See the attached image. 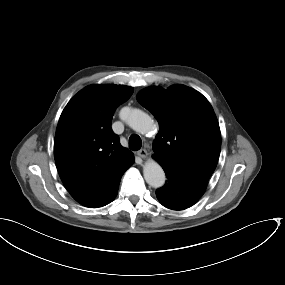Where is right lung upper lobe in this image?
Segmentation results:
<instances>
[{
  "mask_svg": "<svg viewBox=\"0 0 285 285\" xmlns=\"http://www.w3.org/2000/svg\"><path fill=\"white\" fill-rule=\"evenodd\" d=\"M132 93L129 86L91 85L60 116L54 140L57 170L68 192L86 207L104 202L133 163V153L111 128L115 109Z\"/></svg>",
  "mask_w": 285,
  "mask_h": 285,
  "instance_id": "1",
  "label": "right lung upper lobe"
}]
</instances>
